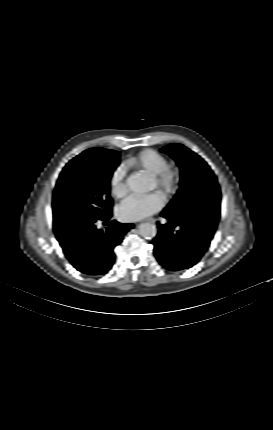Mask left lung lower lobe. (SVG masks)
Returning a JSON list of instances; mask_svg holds the SVG:
<instances>
[{
  "mask_svg": "<svg viewBox=\"0 0 273 430\" xmlns=\"http://www.w3.org/2000/svg\"><path fill=\"white\" fill-rule=\"evenodd\" d=\"M168 220L158 225L153 239L154 254L159 263L170 271H179L195 265L208 249L220 216V200L204 196L186 215L164 209Z\"/></svg>",
  "mask_w": 273,
  "mask_h": 430,
  "instance_id": "1",
  "label": "left lung lower lobe"
}]
</instances>
